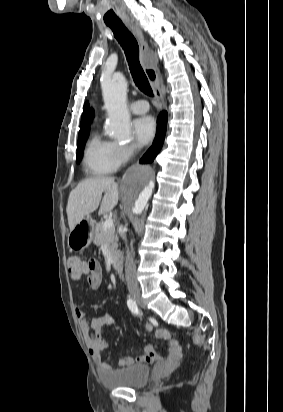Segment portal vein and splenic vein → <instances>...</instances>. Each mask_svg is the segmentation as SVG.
Returning a JSON list of instances; mask_svg holds the SVG:
<instances>
[{"label":"portal vein and splenic vein","instance_id":"1","mask_svg":"<svg viewBox=\"0 0 283 412\" xmlns=\"http://www.w3.org/2000/svg\"><path fill=\"white\" fill-rule=\"evenodd\" d=\"M113 227V219L112 218H108L104 221L103 223V229L107 230L109 228Z\"/></svg>","mask_w":283,"mask_h":412}]
</instances>
